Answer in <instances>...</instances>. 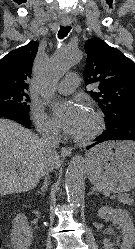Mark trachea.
<instances>
[{
  "instance_id": "3493384b",
  "label": "trachea",
  "mask_w": 135,
  "mask_h": 249,
  "mask_svg": "<svg viewBox=\"0 0 135 249\" xmlns=\"http://www.w3.org/2000/svg\"><path fill=\"white\" fill-rule=\"evenodd\" d=\"M70 30H71L70 26H60V30L58 32V37L60 39H63L64 37H66L68 35Z\"/></svg>"
}]
</instances>
